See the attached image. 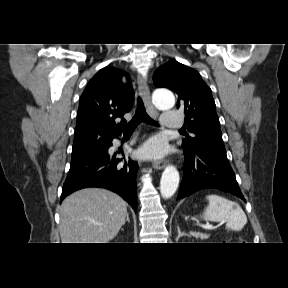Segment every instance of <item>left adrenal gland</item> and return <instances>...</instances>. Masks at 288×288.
<instances>
[{
	"label": "left adrenal gland",
	"instance_id": "left-adrenal-gland-1",
	"mask_svg": "<svg viewBox=\"0 0 288 288\" xmlns=\"http://www.w3.org/2000/svg\"><path fill=\"white\" fill-rule=\"evenodd\" d=\"M177 231H178V237H177V239H179V238L182 237V236H188V237H190V235H188V234H186V233H184V232H181L179 226H177Z\"/></svg>",
	"mask_w": 288,
	"mask_h": 288
}]
</instances>
